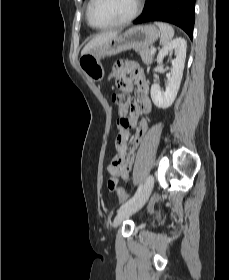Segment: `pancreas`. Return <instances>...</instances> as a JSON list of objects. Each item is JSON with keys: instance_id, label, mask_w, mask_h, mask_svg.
<instances>
[{"instance_id": "obj_1", "label": "pancreas", "mask_w": 229, "mask_h": 280, "mask_svg": "<svg viewBox=\"0 0 229 280\" xmlns=\"http://www.w3.org/2000/svg\"><path fill=\"white\" fill-rule=\"evenodd\" d=\"M136 52L140 54L145 64H149L153 60L154 53H151L149 49H137Z\"/></svg>"}]
</instances>
